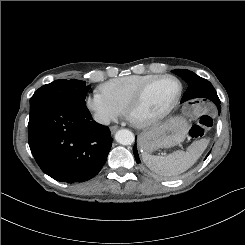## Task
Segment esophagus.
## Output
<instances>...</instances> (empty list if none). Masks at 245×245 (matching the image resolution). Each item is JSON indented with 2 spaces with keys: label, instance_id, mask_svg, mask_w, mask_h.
Returning a JSON list of instances; mask_svg holds the SVG:
<instances>
[{
  "label": "esophagus",
  "instance_id": "1",
  "mask_svg": "<svg viewBox=\"0 0 245 245\" xmlns=\"http://www.w3.org/2000/svg\"><path fill=\"white\" fill-rule=\"evenodd\" d=\"M118 129H119L118 126H111V127H110L111 133H115Z\"/></svg>",
  "mask_w": 245,
  "mask_h": 245
}]
</instances>
